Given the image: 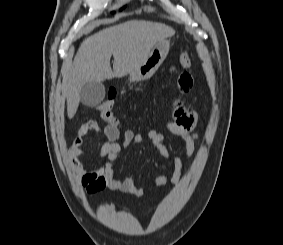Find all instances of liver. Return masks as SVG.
<instances>
[{
    "label": "liver",
    "instance_id": "liver-1",
    "mask_svg": "<svg viewBox=\"0 0 283 245\" xmlns=\"http://www.w3.org/2000/svg\"><path fill=\"white\" fill-rule=\"evenodd\" d=\"M174 29L150 21L132 20L105 28L83 40L65 79L63 94L71 119L80 102L82 86L122 77L140 66L153 47L174 35ZM114 57L113 70L110 59Z\"/></svg>",
    "mask_w": 283,
    "mask_h": 245
}]
</instances>
